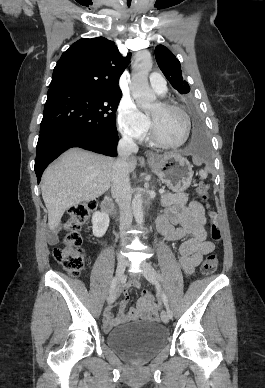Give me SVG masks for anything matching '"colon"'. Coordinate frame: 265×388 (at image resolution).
<instances>
[{"label": "colon", "mask_w": 265, "mask_h": 388, "mask_svg": "<svg viewBox=\"0 0 265 388\" xmlns=\"http://www.w3.org/2000/svg\"><path fill=\"white\" fill-rule=\"evenodd\" d=\"M208 185L199 183L196 192L204 201L208 198ZM96 208L95 201H88L76 204L68 210V218L64 224L65 235L62 239V245L54 249V258L61 264L71 276H78L85 263V253L81 248L82 237L80 234L81 226L90 218L91 213ZM210 234L213 242L221 240V230L217 214L209 212ZM218 259L213 253L208 254L202 265L201 272L204 275H210L217 269ZM142 299L148 304L155 303L154 295L148 291L141 292Z\"/></svg>", "instance_id": "1"}]
</instances>
